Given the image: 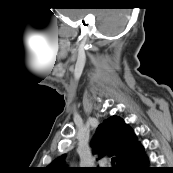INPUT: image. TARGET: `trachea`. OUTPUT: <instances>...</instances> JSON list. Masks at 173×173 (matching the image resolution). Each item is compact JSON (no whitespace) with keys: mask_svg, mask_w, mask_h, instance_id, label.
Instances as JSON below:
<instances>
[{"mask_svg":"<svg viewBox=\"0 0 173 173\" xmlns=\"http://www.w3.org/2000/svg\"><path fill=\"white\" fill-rule=\"evenodd\" d=\"M111 162H112V164H114V158H112V161Z\"/></svg>","mask_w":173,"mask_h":173,"instance_id":"trachea-1","label":"trachea"}]
</instances>
